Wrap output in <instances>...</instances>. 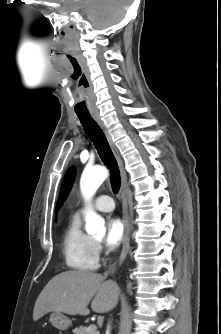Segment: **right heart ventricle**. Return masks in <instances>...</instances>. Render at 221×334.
<instances>
[{"label":"right heart ventricle","instance_id":"obj_1","mask_svg":"<svg viewBox=\"0 0 221 334\" xmlns=\"http://www.w3.org/2000/svg\"><path fill=\"white\" fill-rule=\"evenodd\" d=\"M66 265L76 271H94L99 267V252L96 241L81 229L79 216L69 221L62 238Z\"/></svg>","mask_w":221,"mask_h":334}]
</instances>
